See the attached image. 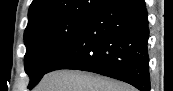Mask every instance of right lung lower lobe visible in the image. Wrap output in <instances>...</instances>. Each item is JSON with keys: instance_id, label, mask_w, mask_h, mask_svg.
Listing matches in <instances>:
<instances>
[{"instance_id": "1", "label": "right lung lower lobe", "mask_w": 173, "mask_h": 91, "mask_svg": "<svg viewBox=\"0 0 173 91\" xmlns=\"http://www.w3.org/2000/svg\"><path fill=\"white\" fill-rule=\"evenodd\" d=\"M148 38L144 0H111L90 17L46 73L90 71L150 91Z\"/></svg>"}]
</instances>
